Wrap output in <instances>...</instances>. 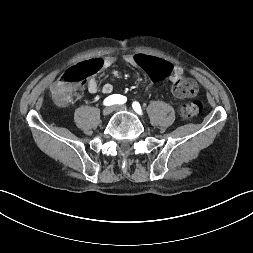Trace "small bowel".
<instances>
[{
	"label": "small bowel",
	"instance_id": "small-bowel-1",
	"mask_svg": "<svg viewBox=\"0 0 253 253\" xmlns=\"http://www.w3.org/2000/svg\"><path fill=\"white\" fill-rule=\"evenodd\" d=\"M139 53H136V54H128L126 56H124V61L133 66V67H139L140 68V65H138L136 62H135V57L138 55ZM101 63V68L102 69H108L110 67H112L115 62H116V58L113 57V56H107L103 59H98ZM171 65V64H170ZM171 73L168 75L169 76V80L172 82V83H176L179 79H181L183 77V69L179 66H173L171 65ZM87 90L89 93L91 94H95L97 91H98V83L97 81L92 78L90 80H88L87 84ZM113 91V86L112 84L110 83H105L103 86H102V92L104 94H110L111 92Z\"/></svg>",
	"mask_w": 253,
	"mask_h": 253
}]
</instances>
